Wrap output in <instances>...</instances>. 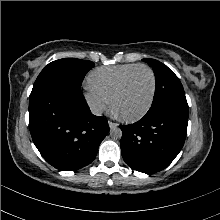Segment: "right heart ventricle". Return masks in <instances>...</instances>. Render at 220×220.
Returning <instances> with one entry per match:
<instances>
[{"label": "right heart ventricle", "instance_id": "obj_1", "mask_svg": "<svg viewBox=\"0 0 220 220\" xmlns=\"http://www.w3.org/2000/svg\"><path fill=\"white\" fill-rule=\"evenodd\" d=\"M137 64L128 63L114 66L98 67L87 78L89 87L111 99L112 94L124 75Z\"/></svg>", "mask_w": 220, "mask_h": 220}]
</instances>
